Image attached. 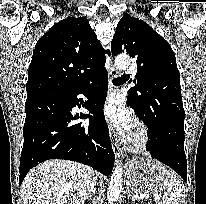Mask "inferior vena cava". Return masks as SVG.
<instances>
[{"label":"inferior vena cava","mask_w":206,"mask_h":204,"mask_svg":"<svg viewBox=\"0 0 206 204\" xmlns=\"http://www.w3.org/2000/svg\"><path fill=\"white\" fill-rule=\"evenodd\" d=\"M97 180H98L97 173H95L92 181H91L90 184L88 185V190H87V191H88L89 193L95 191V185H96Z\"/></svg>","instance_id":"inferior-vena-cava-1"}]
</instances>
